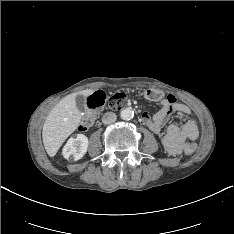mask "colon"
<instances>
[{"instance_id":"1","label":"colon","mask_w":234,"mask_h":234,"mask_svg":"<svg viewBox=\"0 0 234 234\" xmlns=\"http://www.w3.org/2000/svg\"><path fill=\"white\" fill-rule=\"evenodd\" d=\"M142 96L150 101H161L164 99V94L155 89L145 90L142 93ZM126 104V94L124 92H117L113 94L111 97L106 98L105 94L102 92H95L87 98V109L88 112L81 120L79 125L80 131L89 130L100 111L103 107H107L110 110H120ZM198 146L195 143H191L187 145L184 149L185 154L190 155L193 152L197 151Z\"/></svg>"}]
</instances>
